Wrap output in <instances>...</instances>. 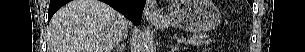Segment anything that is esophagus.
I'll use <instances>...</instances> for the list:
<instances>
[{
	"instance_id": "34e87169",
	"label": "esophagus",
	"mask_w": 305,
	"mask_h": 52,
	"mask_svg": "<svg viewBox=\"0 0 305 52\" xmlns=\"http://www.w3.org/2000/svg\"><path fill=\"white\" fill-rule=\"evenodd\" d=\"M144 14L147 20H154L160 16L159 12L156 9L155 0H147L145 5Z\"/></svg>"
}]
</instances>
